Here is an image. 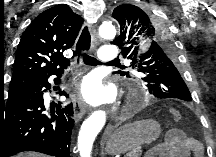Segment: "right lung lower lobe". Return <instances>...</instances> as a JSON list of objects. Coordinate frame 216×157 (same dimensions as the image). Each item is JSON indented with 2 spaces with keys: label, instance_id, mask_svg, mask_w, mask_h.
Listing matches in <instances>:
<instances>
[{
  "label": "right lung lower lobe",
  "instance_id": "1",
  "mask_svg": "<svg viewBox=\"0 0 216 157\" xmlns=\"http://www.w3.org/2000/svg\"><path fill=\"white\" fill-rule=\"evenodd\" d=\"M63 70L50 75L58 77L55 83L59 82ZM50 76L9 93L6 104L0 106V157L22 151L71 157L73 105L58 109L56 104V112L51 107V116L44 113L43 93L51 88ZM60 94L68 97L64 91Z\"/></svg>",
  "mask_w": 216,
  "mask_h": 157
}]
</instances>
